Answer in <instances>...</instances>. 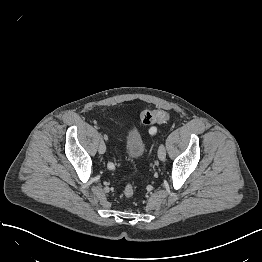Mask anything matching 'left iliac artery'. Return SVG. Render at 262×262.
<instances>
[{
	"label": "left iliac artery",
	"instance_id": "44dca946",
	"mask_svg": "<svg viewBox=\"0 0 262 262\" xmlns=\"http://www.w3.org/2000/svg\"><path fill=\"white\" fill-rule=\"evenodd\" d=\"M150 130L156 132V128H151Z\"/></svg>",
	"mask_w": 262,
	"mask_h": 262
}]
</instances>
